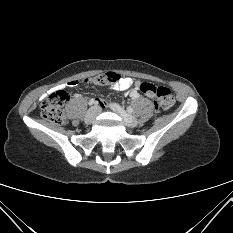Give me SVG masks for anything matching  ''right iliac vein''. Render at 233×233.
I'll use <instances>...</instances> for the list:
<instances>
[{
  "instance_id": "obj_1",
  "label": "right iliac vein",
  "mask_w": 233,
  "mask_h": 233,
  "mask_svg": "<svg viewBox=\"0 0 233 233\" xmlns=\"http://www.w3.org/2000/svg\"><path fill=\"white\" fill-rule=\"evenodd\" d=\"M99 111L100 109L98 106L91 107L85 115V119H84L85 123L91 124L98 115Z\"/></svg>"
}]
</instances>
